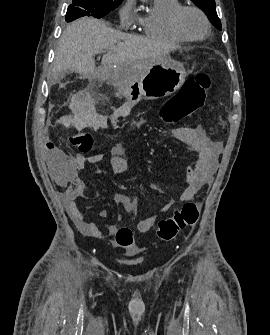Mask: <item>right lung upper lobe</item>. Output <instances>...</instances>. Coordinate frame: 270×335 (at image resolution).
Segmentation results:
<instances>
[{
	"label": "right lung upper lobe",
	"mask_w": 270,
	"mask_h": 335,
	"mask_svg": "<svg viewBox=\"0 0 270 335\" xmlns=\"http://www.w3.org/2000/svg\"><path fill=\"white\" fill-rule=\"evenodd\" d=\"M109 1H113V2H122L123 0H109Z\"/></svg>",
	"instance_id": "right-lung-upper-lobe-1"
}]
</instances>
